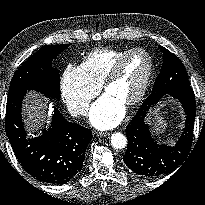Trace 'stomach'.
<instances>
[{
    "mask_svg": "<svg viewBox=\"0 0 205 205\" xmlns=\"http://www.w3.org/2000/svg\"><path fill=\"white\" fill-rule=\"evenodd\" d=\"M147 122L152 126L153 132L156 135L164 134L167 128V123L160 113L159 109L153 110L151 116L147 118Z\"/></svg>",
    "mask_w": 205,
    "mask_h": 205,
    "instance_id": "obj_1",
    "label": "stomach"
}]
</instances>
